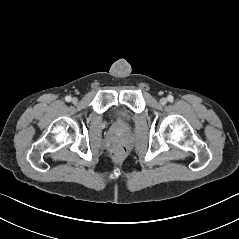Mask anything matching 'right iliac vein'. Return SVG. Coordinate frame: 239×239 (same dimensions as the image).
I'll return each mask as SVG.
<instances>
[{
	"label": "right iliac vein",
	"mask_w": 239,
	"mask_h": 239,
	"mask_svg": "<svg viewBox=\"0 0 239 239\" xmlns=\"http://www.w3.org/2000/svg\"><path fill=\"white\" fill-rule=\"evenodd\" d=\"M72 102H73L74 104H76V103L78 102V99H77L76 97H74V98L72 99Z\"/></svg>",
	"instance_id": "1"
}]
</instances>
